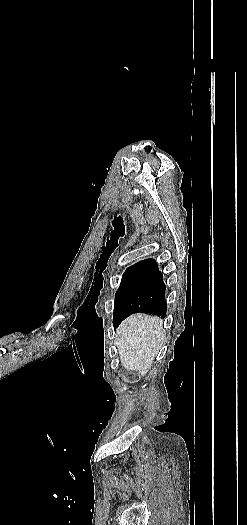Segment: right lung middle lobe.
I'll use <instances>...</instances> for the list:
<instances>
[{
    "label": "right lung middle lobe",
    "mask_w": 247,
    "mask_h": 525,
    "mask_svg": "<svg viewBox=\"0 0 247 525\" xmlns=\"http://www.w3.org/2000/svg\"><path fill=\"white\" fill-rule=\"evenodd\" d=\"M153 262L154 261L152 260L151 264ZM151 264L148 267L138 270L126 271L124 273L120 287L115 294L113 323L120 316L122 306L124 305L128 296L132 293V291L136 288L138 283L144 278V276L149 271Z\"/></svg>",
    "instance_id": "right-lung-middle-lobe-1"
}]
</instances>
